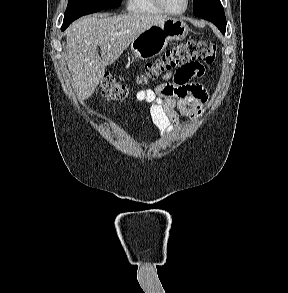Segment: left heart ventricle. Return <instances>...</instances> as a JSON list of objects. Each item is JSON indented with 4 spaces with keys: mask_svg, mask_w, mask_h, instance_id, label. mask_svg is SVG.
Listing matches in <instances>:
<instances>
[{
    "mask_svg": "<svg viewBox=\"0 0 288 293\" xmlns=\"http://www.w3.org/2000/svg\"><path fill=\"white\" fill-rule=\"evenodd\" d=\"M164 4L172 11H179L185 5V0H163Z\"/></svg>",
    "mask_w": 288,
    "mask_h": 293,
    "instance_id": "obj_1",
    "label": "left heart ventricle"
}]
</instances>
